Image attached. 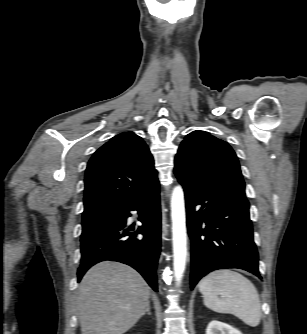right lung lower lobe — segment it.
<instances>
[{
  "mask_svg": "<svg viewBox=\"0 0 307 334\" xmlns=\"http://www.w3.org/2000/svg\"><path fill=\"white\" fill-rule=\"evenodd\" d=\"M137 210L143 223L137 232L126 226L130 211ZM161 215L159 184L136 198L125 209L116 213L112 222L81 242V264L78 282L94 264L112 260L135 268L157 291L156 267L160 254ZM142 234V239H137Z\"/></svg>",
  "mask_w": 307,
  "mask_h": 334,
  "instance_id": "obj_1",
  "label": "right lung lower lobe"
}]
</instances>
